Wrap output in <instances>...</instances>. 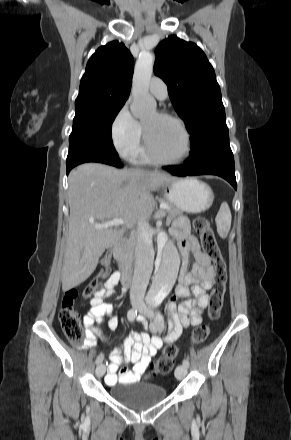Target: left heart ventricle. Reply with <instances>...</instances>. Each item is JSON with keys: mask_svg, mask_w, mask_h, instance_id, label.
<instances>
[{"mask_svg": "<svg viewBox=\"0 0 291 440\" xmlns=\"http://www.w3.org/2000/svg\"><path fill=\"white\" fill-rule=\"evenodd\" d=\"M152 146L166 160L180 159L186 150L185 136L179 125L153 111L142 120Z\"/></svg>", "mask_w": 291, "mask_h": 440, "instance_id": "b2bd125f", "label": "left heart ventricle"}]
</instances>
